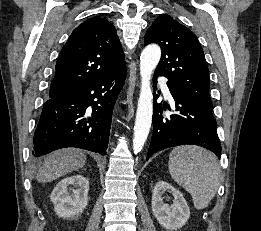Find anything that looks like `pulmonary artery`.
<instances>
[{
  "mask_svg": "<svg viewBox=\"0 0 261 231\" xmlns=\"http://www.w3.org/2000/svg\"><path fill=\"white\" fill-rule=\"evenodd\" d=\"M158 83H159L160 87L162 88L163 92L165 93V95L171 99V94H170L169 88L166 84V79L164 77H160L158 79Z\"/></svg>",
  "mask_w": 261,
  "mask_h": 231,
  "instance_id": "obj_1",
  "label": "pulmonary artery"
}]
</instances>
